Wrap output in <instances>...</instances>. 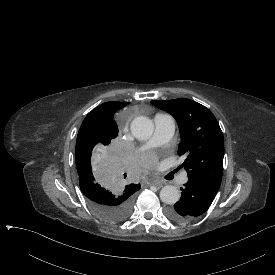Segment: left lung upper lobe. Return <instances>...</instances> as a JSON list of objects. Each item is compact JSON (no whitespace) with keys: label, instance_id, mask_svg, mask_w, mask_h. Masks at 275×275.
<instances>
[{"label":"left lung upper lobe","instance_id":"5c2ea615","mask_svg":"<svg viewBox=\"0 0 275 275\" xmlns=\"http://www.w3.org/2000/svg\"><path fill=\"white\" fill-rule=\"evenodd\" d=\"M177 121L181 142L178 154L188 178L219 189L223 172L224 138L220 126L205 106L186 98L152 101Z\"/></svg>","mask_w":275,"mask_h":275}]
</instances>
